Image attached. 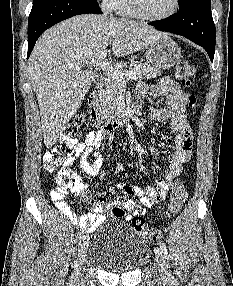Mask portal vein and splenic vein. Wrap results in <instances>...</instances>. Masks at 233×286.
Wrapping results in <instances>:
<instances>
[{
    "mask_svg": "<svg viewBox=\"0 0 233 286\" xmlns=\"http://www.w3.org/2000/svg\"><path fill=\"white\" fill-rule=\"evenodd\" d=\"M106 55L107 50L104 49L103 51H101L100 55L97 58L92 59L90 62L87 63V67H99L108 76L112 77L120 83L125 82L126 79L134 78V73L132 71L128 72L125 75L124 73L120 72L118 68L105 61Z\"/></svg>",
    "mask_w": 233,
    "mask_h": 286,
    "instance_id": "obj_1",
    "label": "portal vein and splenic vein"
}]
</instances>
